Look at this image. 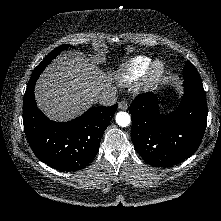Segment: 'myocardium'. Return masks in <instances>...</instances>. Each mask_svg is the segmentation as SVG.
<instances>
[{
  "instance_id": "f54148a6",
  "label": "myocardium",
  "mask_w": 221,
  "mask_h": 221,
  "mask_svg": "<svg viewBox=\"0 0 221 221\" xmlns=\"http://www.w3.org/2000/svg\"><path fill=\"white\" fill-rule=\"evenodd\" d=\"M165 74L164 62L157 60L154 61L148 68L145 74V82L148 87H155L160 83Z\"/></svg>"
}]
</instances>
